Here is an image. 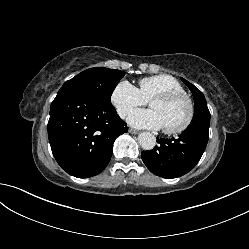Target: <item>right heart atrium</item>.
Returning <instances> with one entry per match:
<instances>
[{"label": "right heart atrium", "mask_w": 249, "mask_h": 249, "mask_svg": "<svg viewBox=\"0 0 249 249\" xmlns=\"http://www.w3.org/2000/svg\"><path fill=\"white\" fill-rule=\"evenodd\" d=\"M110 100L121 118H125L133 108L146 103L138 89L125 80L116 84L112 90Z\"/></svg>", "instance_id": "d8ad5b80"}]
</instances>
